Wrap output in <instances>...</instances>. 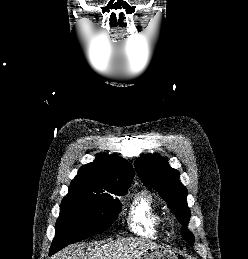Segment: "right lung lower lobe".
I'll list each match as a JSON object with an SVG mask.
<instances>
[{"label":"right lung lower lobe","instance_id":"1","mask_svg":"<svg viewBox=\"0 0 248 259\" xmlns=\"http://www.w3.org/2000/svg\"><path fill=\"white\" fill-rule=\"evenodd\" d=\"M53 253H55V252L52 249H50V255L53 254Z\"/></svg>","mask_w":248,"mask_h":259}]
</instances>
